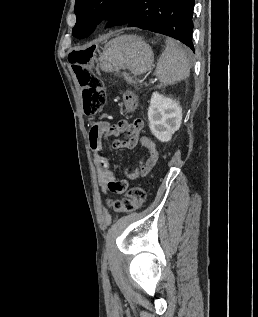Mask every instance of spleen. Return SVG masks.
I'll return each mask as SVG.
<instances>
[{
	"instance_id": "spleen-1",
	"label": "spleen",
	"mask_w": 258,
	"mask_h": 317,
	"mask_svg": "<svg viewBox=\"0 0 258 317\" xmlns=\"http://www.w3.org/2000/svg\"><path fill=\"white\" fill-rule=\"evenodd\" d=\"M191 50L182 48L173 38H167L166 48L163 50L154 74L160 80V86L175 84L177 80H184L190 72Z\"/></svg>"
}]
</instances>
